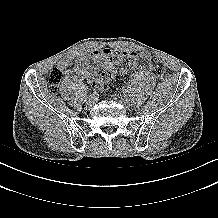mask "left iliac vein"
Masks as SVG:
<instances>
[{
	"label": "left iliac vein",
	"mask_w": 218,
	"mask_h": 218,
	"mask_svg": "<svg viewBox=\"0 0 218 218\" xmlns=\"http://www.w3.org/2000/svg\"><path fill=\"white\" fill-rule=\"evenodd\" d=\"M119 101L124 105V106H129L131 104V100L126 97V96H120Z\"/></svg>",
	"instance_id": "left-iliac-vein-1"
}]
</instances>
